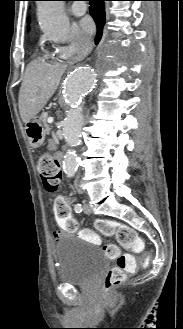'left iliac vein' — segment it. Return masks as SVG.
<instances>
[{
    "instance_id": "1",
    "label": "left iliac vein",
    "mask_w": 183,
    "mask_h": 329,
    "mask_svg": "<svg viewBox=\"0 0 183 329\" xmlns=\"http://www.w3.org/2000/svg\"><path fill=\"white\" fill-rule=\"evenodd\" d=\"M83 211L85 214L90 215L92 213L91 207L88 203H84Z\"/></svg>"
}]
</instances>
